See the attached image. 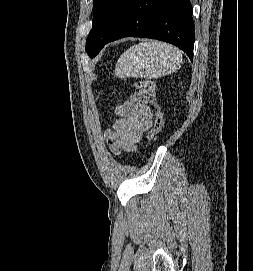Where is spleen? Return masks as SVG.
Segmentation results:
<instances>
[{
	"label": "spleen",
	"instance_id": "3e777b00",
	"mask_svg": "<svg viewBox=\"0 0 253 271\" xmlns=\"http://www.w3.org/2000/svg\"><path fill=\"white\" fill-rule=\"evenodd\" d=\"M181 64L182 54L177 48L149 41L126 50L116 64L115 74L119 78L158 79L176 72Z\"/></svg>",
	"mask_w": 253,
	"mask_h": 271
}]
</instances>
